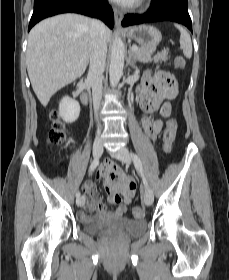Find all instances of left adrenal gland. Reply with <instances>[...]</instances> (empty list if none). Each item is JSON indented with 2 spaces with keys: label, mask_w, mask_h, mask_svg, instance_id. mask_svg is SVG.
I'll return each mask as SVG.
<instances>
[{
  "label": "left adrenal gland",
  "mask_w": 229,
  "mask_h": 280,
  "mask_svg": "<svg viewBox=\"0 0 229 280\" xmlns=\"http://www.w3.org/2000/svg\"><path fill=\"white\" fill-rule=\"evenodd\" d=\"M128 65L130 67H132L133 69H137V66L135 64V61L132 59V54L131 52L129 51V56H128V61H127Z\"/></svg>",
  "instance_id": "obj_1"
}]
</instances>
